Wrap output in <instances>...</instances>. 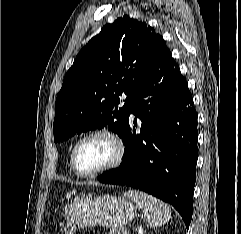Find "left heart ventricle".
Segmentation results:
<instances>
[{
  "mask_svg": "<svg viewBox=\"0 0 241 234\" xmlns=\"http://www.w3.org/2000/svg\"><path fill=\"white\" fill-rule=\"evenodd\" d=\"M115 156L114 144L105 136H95L84 141L76 154L77 167L82 172H92L108 164Z\"/></svg>",
  "mask_w": 241,
  "mask_h": 234,
  "instance_id": "b2bd125f",
  "label": "left heart ventricle"
}]
</instances>
